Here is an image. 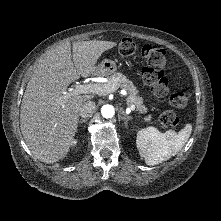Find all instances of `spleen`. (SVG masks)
I'll list each match as a JSON object with an SVG mask.
<instances>
[{
	"label": "spleen",
	"mask_w": 221,
	"mask_h": 221,
	"mask_svg": "<svg viewBox=\"0 0 221 221\" xmlns=\"http://www.w3.org/2000/svg\"><path fill=\"white\" fill-rule=\"evenodd\" d=\"M192 125L186 124L178 133L168 130L161 133L155 127L138 131L136 146L147 165H157L176 155L188 141Z\"/></svg>",
	"instance_id": "1"
}]
</instances>
